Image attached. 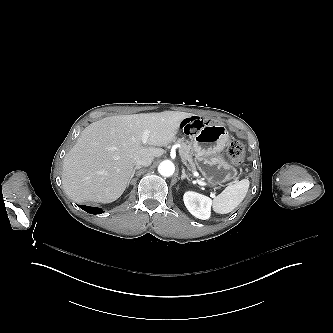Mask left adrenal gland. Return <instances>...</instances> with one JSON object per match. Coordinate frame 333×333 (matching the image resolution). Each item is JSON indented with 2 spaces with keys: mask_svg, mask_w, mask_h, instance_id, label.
<instances>
[{
  "mask_svg": "<svg viewBox=\"0 0 333 333\" xmlns=\"http://www.w3.org/2000/svg\"><path fill=\"white\" fill-rule=\"evenodd\" d=\"M187 179L188 181H190V178L188 177V175L185 173V169H182V175H181V180L183 179Z\"/></svg>",
  "mask_w": 333,
  "mask_h": 333,
  "instance_id": "1",
  "label": "left adrenal gland"
}]
</instances>
